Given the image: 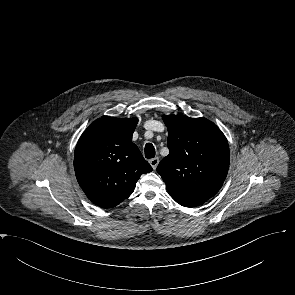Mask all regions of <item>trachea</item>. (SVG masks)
<instances>
[{"label":"trachea","instance_id":"1","mask_svg":"<svg viewBox=\"0 0 295 295\" xmlns=\"http://www.w3.org/2000/svg\"><path fill=\"white\" fill-rule=\"evenodd\" d=\"M145 157L148 159L155 157V148L151 143L145 145Z\"/></svg>","mask_w":295,"mask_h":295}]
</instances>
